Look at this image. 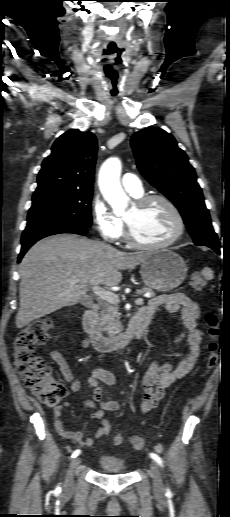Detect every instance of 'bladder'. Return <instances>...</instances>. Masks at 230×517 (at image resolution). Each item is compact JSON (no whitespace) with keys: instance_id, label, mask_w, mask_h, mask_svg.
Masks as SVG:
<instances>
[{"instance_id":"1","label":"bladder","mask_w":230,"mask_h":517,"mask_svg":"<svg viewBox=\"0 0 230 517\" xmlns=\"http://www.w3.org/2000/svg\"><path fill=\"white\" fill-rule=\"evenodd\" d=\"M99 469L106 473L121 474L125 472V463L113 456L103 454L98 461Z\"/></svg>"}]
</instances>
